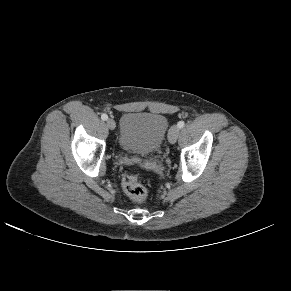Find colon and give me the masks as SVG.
<instances>
[{
	"mask_svg": "<svg viewBox=\"0 0 291 291\" xmlns=\"http://www.w3.org/2000/svg\"><path fill=\"white\" fill-rule=\"evenodd\" d=\"M122 188L125 194L135 202H143L147 198V188L141 182L138 173H128L122 178Z\"/></svg>",
	"mask_w": 291,
	"mask_h": 291,
	"instance_id": "5ec220e1",
	"label": "colon"
}]
</instances>
